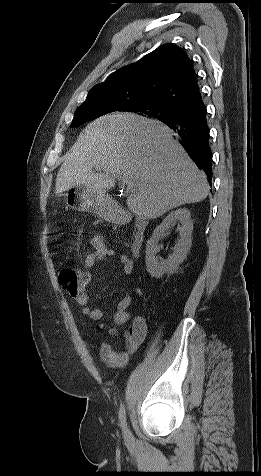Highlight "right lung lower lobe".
<instances>
[{
	"instance_id": "obj_1",
	"label": "right lung lower lobe",
	"mask_w": 261,
	"mask_h": 476,
	"mask_svg": "<svg viewBox=\"0 0 261 476\" xmlns=\"http://www.w3.org/2000/svg\"><path fill=\"white\" fill-rule=\"evenodd\" d=\"M207 111L202 98L192 106L181 109L176 116L162 122L177 135L180 144L187 151L199 169L212 178V156L209 146Z\"/></svg>"
}]
</instances>
